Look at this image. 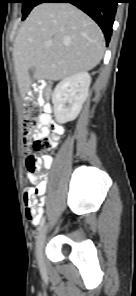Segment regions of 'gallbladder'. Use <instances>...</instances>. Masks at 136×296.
I'll return each instance as SVG.
<instances>
[{"mask_svg": "<svg viewBox=\"0 0 136 296\" xmlns=\"http://www.w3.org/2000/svg\"><path fill=\"white\" fill-rule=\"evenodd\" d=\"M29 72H30V76L33 78V70L31 69Z\"/></svg>", "mask_w": 136, "mask_h": 296, "instance_id": "1", "label": "gallbladder"}]
</instances>
